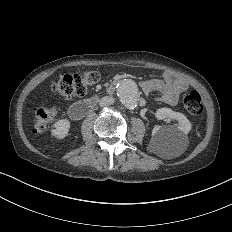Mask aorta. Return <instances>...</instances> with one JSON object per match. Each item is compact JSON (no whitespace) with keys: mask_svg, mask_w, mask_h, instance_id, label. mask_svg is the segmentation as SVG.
Masks as SVG:
<instances>
[{"mask_svg":"<svg viewBox=\"0 0 232 232\" xmlns=\"http://www.w3.org/2000/svg\"><path fill=\"white\" fill-rule=\"evenodd\" d=\"M117 95L128 109H134L138 103V87L132 80L124 79L117 87Z\"/></svg>","mask_w":232,"mask_h":232,"instance_id":"obj_1","label":"aorta"}]
</instances>
